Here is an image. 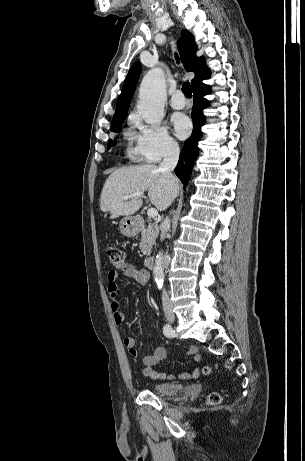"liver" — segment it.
Returning a JSON list of instances; mask_svg holds the SVG:
<instances>
[{
    "mask_svg": "<svg viewBox=\"0 0 305 461\" xmlns=\"http://www.w3.org/2000/svg\"><path fill=\"white\" fill-rule=\"evenodd\" d=\"M180 190L179 180L159 171L154 164L119 168L106 179L100 198V209L110 212L111 219L130 216L142 206L141 197L124 200L125 195L148 191L152 205L159 211L166 210Z\"/></svg>",
    "mask_w": 305,
    "mask_h": 461,
    "instance_id": "liver-1",
    "label": "liver"
}]
</instances>
